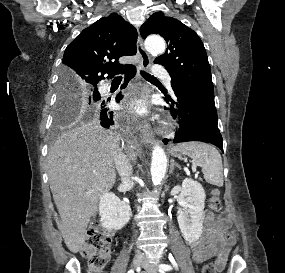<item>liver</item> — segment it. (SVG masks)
Returning <instances> with one entry per match:
<instances>
[{"mask_svg": "<svg viewBox=\"0 0 285 273\" xmlns=\"http://www.w3.org/2000/svg\"><path fill=\"white\" fill-rule=\"evenodd\" d=\"M119 144L118 134L88 123L64 132L49 149L48 177L61 217L59 229L73 253L79 252L85 242L100 197L115 183L114 159ZM126 152L136 160L130 142Z\"/></svg>", "mask_w": 285, "mask_h": 273, "instance_id": "liver-1", "label": "liver"}]
</instances>
